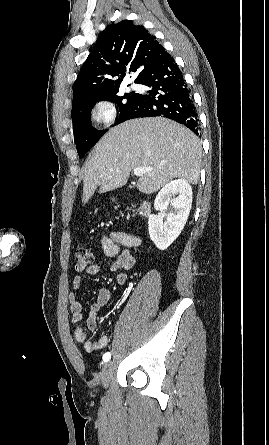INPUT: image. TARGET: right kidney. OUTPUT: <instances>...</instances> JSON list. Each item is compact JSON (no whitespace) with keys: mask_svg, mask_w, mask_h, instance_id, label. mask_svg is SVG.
I'll list each match as a JSON object with an SVG mask.
<instances>
[{"mask_svg":"<svg viewBox=\"0 0 269 445\" xmlns=\"http://www.w3.org/2000/svg\"><path fill=\"white\" fill-rule=\"evenodd\" d=\"M192 194L190 184L184 179H177L167 183L156 196L154 208L160 214L149 217L148 228L150 238L158 249L166 250L180 235L190 213ZM169 205L174 208V213L168 214L163 223Z\"/></svg>","mask_w":269,"mask_h":445,"instance_id":"obj_1","label":"right kidney"}]
</instances>
